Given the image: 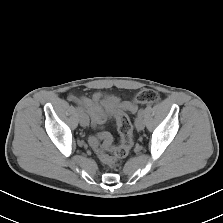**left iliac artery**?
Returning a JSON list of instances; mask_svg holds the SVG:
<instances>
[{"instance_id": "left-iliac-artery-1", "label": "left iliac artery", "mask_w": 223, "mask_h": 223, "mask_svg": "<svg viewBox=\"0 0 223 223\" xmlns=\"http://www.w3.org/2000/svg\"><path fill=\"white\" fill-rule=\"evenodd\" d=\"M143 114H144V110L143 109H140L138 111V114L137 115L141 117V116H143Z\"/></svg>"}]
</instances>
